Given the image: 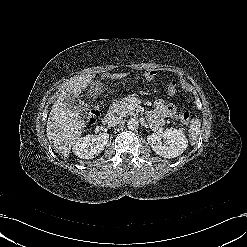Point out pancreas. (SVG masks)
I'll use <instances>...</instances> for the list:
<instances>
[{
  "mask_svg": "<svg viewBox=\"0 0 247 247\" xmlns=\"http://www.w3.org/2000/svg\"><path fill=\"white\" fill-rule=\"evenodd\" d=\"M130 104H134L137 106L141 104V100L135 97L134 95L127 96L125 98L120 99L119 101L114 102L110 107V111L121 117L134 115L135 112L130 108Z\"/></svg>",
  "mask_w": 247,
  "mask_h": 247,
  "instance_id": "pancreas-1",
  "label": "pancreas"
}]
</instances>
